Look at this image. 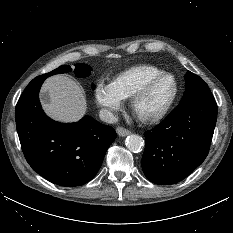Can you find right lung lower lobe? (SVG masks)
Masks as SVG:
<instances>
[{
	"label": "right lung lower lobe",
	"mask_w": 233,
	"mask_h": 233,
	"mask_svg": "<svg viewBox=\"0 0 233 233\" xmlns=\"http://www.w3.org/2000/svg\"><path fill=\"white\" fill-rule=\"evenodd\" d=\"M46 78L45 74L34 78L16 105L22 151L32 169L48 181L66 187L80 186L96 175L116 132L89 116L68 124L47 117L38 98Z\"/></svg>",
	"instance_id": "right-lung-lower-lobe-1"
}]
</instances>
